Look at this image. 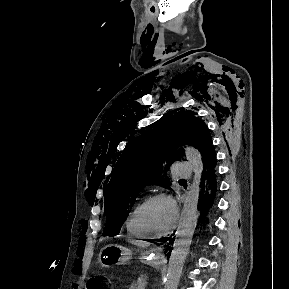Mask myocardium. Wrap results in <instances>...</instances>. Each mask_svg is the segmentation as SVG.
I'll use <instances>...</instances> for the list:
<instances>
[{
    "label": "myocardium",
    "mask_w": 289,
    "mask_h": 289,
    "mask_svg": "<svg viewBox=\"0 0 289 289\" xmlns=\"http://www.w3.org/2000/svg\"><path fill=\"white\" fill-rule=\"evenodd\" d=\"M156 200H167L168 202L171 203L172 207H173V212H174V217H173V221L171 223V225L164 231L161 232H156V231H152L149 230L148 228L145 227V225L143 224V212L145 211V209L154 201ZM179 219V212H178V207L177 204L175 202V200L168 194L166 193H154L150 196H148L139 206L137 213H136V222L137 225L139 227V229L146 234L149 237H163L166 236L168 234H170L176 227L177 222Z\"/></svg>",
    "instance_id": "myocardium-1"
}]
</instances>
